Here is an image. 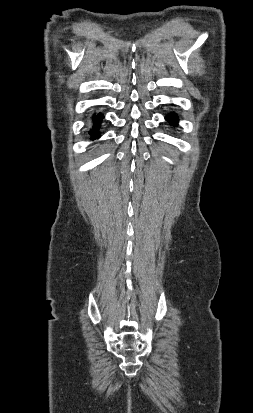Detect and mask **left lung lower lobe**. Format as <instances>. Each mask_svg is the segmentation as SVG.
<instances>
[{
  "instance_id": "0a47b994",
  "label": "left lung lower lobe",
  "mask_w": 253,
  "mask_h": 413,
  "mask_svg": "<svg viewBox=\"0 0 253 413\" xmlns=\"http://www.w3.org/2000/svg\"><path fill=\"white\" fill-rule=\"evenodd\" d=\"M166 120L169 121L172 125L177 124V116L175 114L168 115Z\"/></svg>"
}]
</instances>
